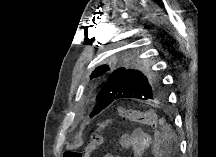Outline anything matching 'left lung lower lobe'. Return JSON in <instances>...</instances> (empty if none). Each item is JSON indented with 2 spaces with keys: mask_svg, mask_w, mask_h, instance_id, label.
Instances as JSON below:
<instances>
[{
  "mask_svg": "<svg viewBox=\"0 0 216 157\" xmlns=\"http://www.w3.org/2000/svg\"><path fill=\"white\" fill-rule=\"evenodd\" d=\"M109 102H103L101 104H97L94 108V110L92 111L90 117L95 116L96 114L100 113L103 109H105L107 106H109Z\"/></svg>",
  "mask_w": 216,
  "mask_h": 157,
  "instance_id": "1",
  "label": "left lung lower lobe"
}]
</instances>
